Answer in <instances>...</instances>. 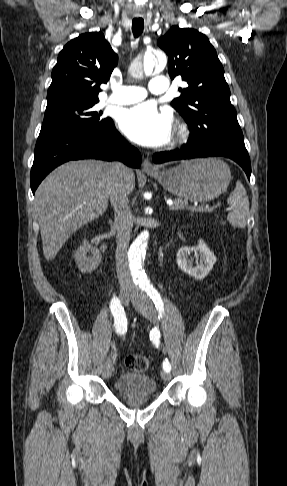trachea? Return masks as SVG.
<instances>
[{
    "label": "trachea",
    "instance_id": "obj_1",
    "mask_svg": "<svg viewBox=\"0 0 287 486\" xmlns=\"http://www.w3.org/2000/svg\"><path fill=\"white\" fill-rule=\"evenodd\" d=\"M144 27V21L141 18L134 19L132 21V32L135 38H138L142 33Z\"/></svg>",
    "mask_w": 287,
    "mask_h": 486
}]
</instances>
